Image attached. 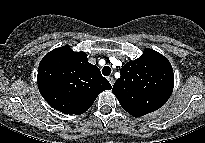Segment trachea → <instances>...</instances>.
I'll return each mask as SVG.
<instances>
[{
  "instance_id": "trachea-1",
  "label": "trachea",
  "mask_w": 205,
  "mask_h": 143,
  "mask_svg": "<svg viewBox=\"0 0 205 143\" xmlns=\"http://www.w3.org/2000/svg\"><path fill=\"white\" fill-rule=\"evenodd\" d=\"M110 73H111V68H110L109 66H105V67L102 69V74H103L104 76H108V75H110Z\"/></svg>"
}]
</instances>
